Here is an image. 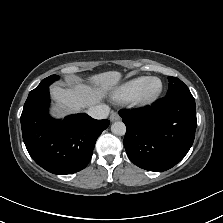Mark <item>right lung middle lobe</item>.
I'll use <instances>...</instances> for the list:
<instances>
[{
	"label": "right lung middle lobe",
	"mask_w": 223,
	"mask_h": 223,
	"mask_svg": "<svg viewBox=\"0 0 223 223\" xmlns=\"http://www.w3.org/2000/svg\"><path fill=\"white\" fill-rule=\"evenodd\" d=\"M58 79H59L58 75H51V76L43 79L40 82V84L34 90H32L30 93H34V92L40 91V90L44 89L45 87L49 86L55 80H58Z\"/></svg>",
	"instance_id": "1"
}]
</instances>
